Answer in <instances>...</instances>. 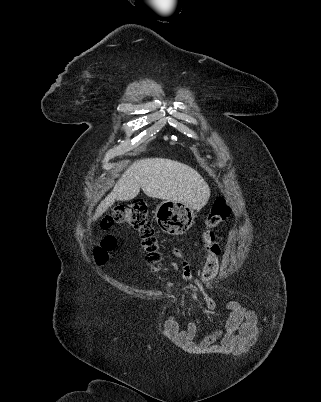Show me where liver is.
Instances as JSON below:
<instances>
[{
  "label": "liver",
  "mask_w": 321,
  "mask_h": 402,
  "mask_svg": "<svg viewBox=\"0 0 321 402\" xmlns=\"http://www.w3.org/2000/svg\"><path fill=\"white\" fill-rule=\"evenodd\" d=\"M140 189L152 198L183 202L201 209L210 197V189L201 175L190 166L165 158L135 161L121 176L113 190L97 206L93 220L105 213L116 200L135 198Z\"/></svg>",
  "instance_id": "6515ba94"
}]
</instances>
